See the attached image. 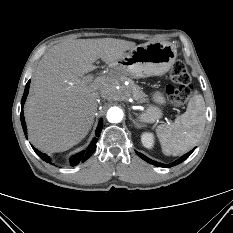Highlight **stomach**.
<instances>
[{
	"label": "stomach",
	"instance_id": "obj_1",
	"mask_svg": "<svg viewBox=\"0 0 233 233\" xmlns=\"http://www.w3.org/2000/svg\"><path fill=\"white\" fill-rule=\"evenodd\" d=\"M177 57V50L174 45L168 42H147L137 45L121 59L113 64L119 72L132 78H143L149 76L163 75L169 71ZM153 101L163 105L165 98L162 93L155 92ZM162 116L161 109L151 105L139 116L144 123H153Z\"/></svg>",
	"mask_w": 233,
	"mask_h": 233
}]
</instances>
